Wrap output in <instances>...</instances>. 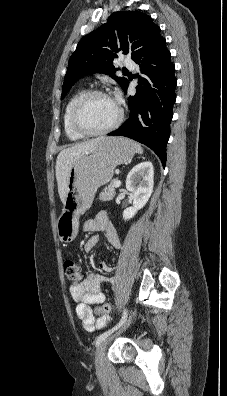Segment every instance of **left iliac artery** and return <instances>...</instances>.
<instances>
[{"label": "left iliac artery", "mask_w": 227, "mask_h": 396, "mask_svg": "<svg viewBox=\"0 0 227 396\" xmlns=\"http://www.w3.org/2000/svg\"><path fill=\"white\" fill-rule=\"evenodd\" d=\"M127 319V311L126 309L123 312L122 318L119 321V323L113 327L112 329L102 333L101 335L98 336L97 340H96V346H98L104 339H106L111 333H113L115 330H117L118 328H120L126 321Z\"/></svg>", "instance_id": "left-iliac-artery-1"}]
</instances>
